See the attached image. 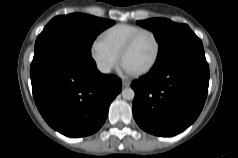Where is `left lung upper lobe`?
<instances>
[{
	"label": "left lung upper lobe",
	"mask_w": 238,
	"mask_h": 158,
	"mask_svg": "<svg viewBox=\"0 0 238 158\" xmlns=\"http://www.w3.org/2000/svg\"><path fill=\"white\" fill-rule=\"evenodd\" d=\"M137 23L151 30L159 43L156 64L188 47L202 44L201 40L185 24L174 23L165 18H153Z\"/></svg>",
	"instance_id": "1"
}]
</instances>
